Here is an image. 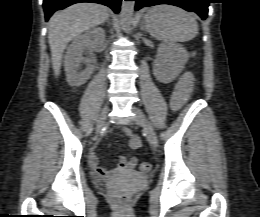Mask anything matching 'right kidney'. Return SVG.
I'll use <instances>...</instances> for the list:
<instances>
[{
	"label": "right kidney",
	"instance_id": "obj_1",
	"mask_svg": "<svg viewBox=\"0 0 260 217\" xmlns=\"http://www.w3.org/2000/svg\"><path fill=\"white\" fill-rule=\"evenodd\" d=\"M104 39L105 31L100 27L89 29L74 38L67 49L64 61L67 82L70 85L79 87L90 78L92 66L87 64L84 70L80 68V64L84 61L83 51L88 47L101 44Z\"/></svg>",
	"mask_w": 260,
	"mask_h": 217
}]
</instances>
